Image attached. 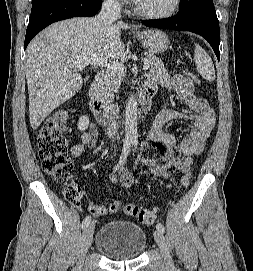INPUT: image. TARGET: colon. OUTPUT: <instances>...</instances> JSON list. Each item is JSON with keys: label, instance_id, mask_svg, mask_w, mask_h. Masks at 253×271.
<instances>
[{"label": "colon", "instance_id": "1", "mask_svg": "<svg viewBox=\"0 0 253 271\" xmlns=\"http://www.w3.org/2000/svg\"><path fill=\"white\" fill-rule=\"evenodd\" d=\"M188 75L192 76L191 73ZM69 120L70 112L68 110H58L53 113L39 131L37 147L43 171L64 185L63 191L67 201L77 204L81 198V190L76 184L66 182L67 175L73 168V160L68 153V140L65 136ZM190 180V173H185L181 177L180 186H188ZM120 208L121 202L118 200L112 201L109 205V210L112 213L118 212ZM123 211L144 224H153L157 218L155 211L136 204L124 205Z\"/></svg>", "mask_w": 253, "mask_h": 271}]
</instances>
